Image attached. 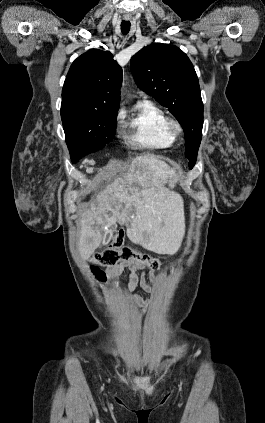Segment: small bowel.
Segmentation results:
<instances>
[{
	"instance_id": "small-bowel-1",
	"label": "small bowel",
	"mask_w": 265,
	"mask_h": 423,
	"mask_svg": "<svg viewBox=\"0 0 265 423\" xmlns=\"http://www.w3.org/2000/svg\"><path fill=\"white\" fill-rule=\"evenodd\" d=\"M124 269H128L130 271V278L128 283V289L131 292V300L139 305H144L146 307L152 305L151 300H144L141 296L138 294L133 293L136 289L137 285L139 284L145 291L152 292L154 290V286L156 283V276L153 272H150L148 277L151 282V285L147 282L145 273L143 270L145 269V266L136 264L134 262L130 261H121L115 265L109 266L106 269L107 275L111 282L115 285L116 280L121 274V272ZM141 271V275L138 276L137 272Z\"/></svg>"
}]
</instances>
